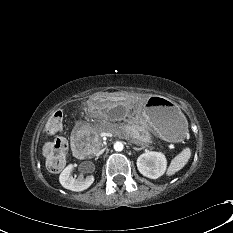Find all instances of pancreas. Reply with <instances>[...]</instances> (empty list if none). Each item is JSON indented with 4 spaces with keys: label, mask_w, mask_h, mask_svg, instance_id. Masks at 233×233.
I'll return each mask as SVG.
<instances>
[{
    "label": "pancreas",
    "mask_w": 233,
    "mask_h": 233,
    "mask_svg": "<svg viewBox=\"0 0 233 233\" xmlns=\"http://www.w3.org/2000/svg\"><path fill=\"white\" fill-rule=\"evenodd\" d=\"M89 128V135H92L90 137V143L89 146L91 148V151L97 152L99 148L102 146V141L99 136V131L95 128L88 127ZM130 135L132 137V140L135 144L141 145L144 147H149V144L152 143L151 135L149 132V127L147 124L141 121H135V125L131 129Z\"/></svg>",
    "instance_id": "obj_1"
}]
</instances>
